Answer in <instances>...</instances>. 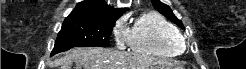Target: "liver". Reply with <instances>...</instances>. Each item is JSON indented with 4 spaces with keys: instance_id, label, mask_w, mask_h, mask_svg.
Segmentation results:
<instances>
[{
    "instance_id": "1",
    "label": "liver",
    "mask_w": 246,
    "mask_h": 69,
    "mask_svg": "<svg viewBox=\"0 0 246 69\" xmlns=\"http://www.w3.org/2000/svg\"><path fill=\"white\" fill-rule=\"evenodd\" d=\"M147 69L153 64H167L166 61L148 55L103 48H76L58 59L61 69Z\"/></svg>"
}]
</instances>
